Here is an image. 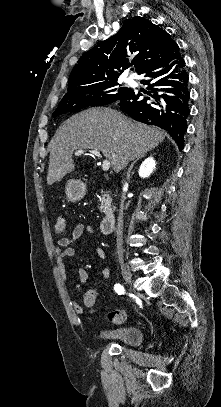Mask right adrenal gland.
<instances>
[{
	"instance_id": "right-adrenal-gland-1",
	"label": "right adrenal gland",
	"mask_w": 221,
	"mask_h": 407,
	"mask_svg": "<svg viewBox=\"0 0 221 407\" xmlns=\"http://www.w3.org/2000/svg\"><path fill=\"white\" fill-rule=\"evenodd\" d=\"M144 156H145V154L139 156L137 159H135V160L131 163V165H130V167H129V169H128V172H127V176H126L128 180H130V173H131V170H132L134 164H135L139 159H141V158L144 157Z\"/></svg>"
}]
</instances>
